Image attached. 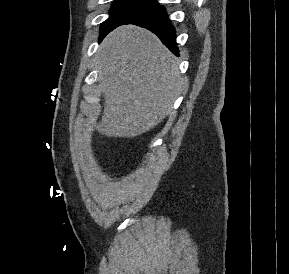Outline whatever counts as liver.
<instances>
[{"mask_svg":"<svg viewBox=\"0 0 289 274\" xmlns=\"http://www.w3.org/2000/svg\"><path fill=\"white\" fill-rule=\"evenodd\" d=\"M98 56L105 98L99 133L134 138L172 112L183 80L177 59L153 33L120 26L103 40Z\"/></svg>","mask_w":289,"mask_h":274,"instance_id":"liver-1","label":"liver"}]
</instances>
